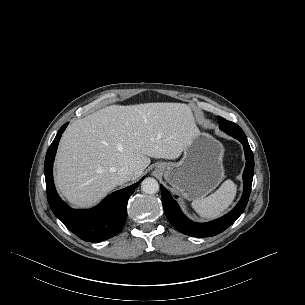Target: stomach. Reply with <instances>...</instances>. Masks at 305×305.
Instances as JSON below:
<instances>
[{"label":"stomach","mask_w":305,"mask_h":305,"mask_svg":"<svg viewBox=\"0 0 305 305\" xmlns=\"http://www.w3.org/2000/svg\"><path fill=\"white\" fill-rule=\"evenodd\" d=\"M222 144L207 133L199 132L183 150L176 163L162 162L156 169L173 189L187 200L204 197L224 177Z\"/></svg>","instance_id":"obj_1"}]
</instances>
